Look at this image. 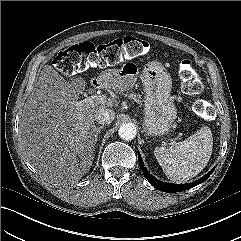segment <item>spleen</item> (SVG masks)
Returning a JSON list of instances; mask_svg holds the SVG:
<instances>
[{
    "label": "spleen",
    "mask_w": 241,
    "mask_h": 241,
    "mask_svg": "<svg viewBox=\"0 0 241 241\" xmlns=\"http://www.w3.org/2000/svg\"><path fill=\"white\" fill-rule=\"evenodd\" d=\"M212 148V133L206 126L182 142L155 148L154 155L168 179L182 183L198 175L206 167Z\"/></svg>",
    "instance_id": "1"
}]
</instances>
